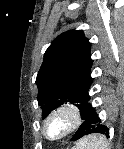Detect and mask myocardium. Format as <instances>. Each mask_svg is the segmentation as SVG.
Segmentation results:
<instances>
[{"label": "myocardium", "instance_id": "f54148a6", "mask_svg": "<svg viewBox=\"0 0 124 149\" xmlns=\"http://www.w3.org/2000/svg\"><path fill=\"white\" fill-rule=\"evenodd\" d=\"M54 121H63L65 123L63 132L52 137L49 134V126ZM83 122V114L78 106L73 103H64L54 108L45 118L43 122V135L50 142H60L73 133H75Z\"/></svg>", "mask_w": 124, "mask_h": 149}]
</instances>
